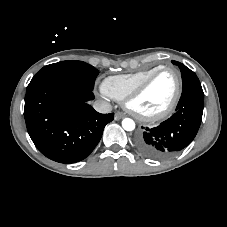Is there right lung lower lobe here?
<instances>
[{"instance_id": "right-lung-lower-lobe-1", "label": "right lung lower lobe", "mask_w": 227, "mask_h": 227, "mask_svg": "<svg viewBox=\"0 0 227 227\" xmlns=\"http://www.w3.org/2000/svg\"><path fill=\"white\" fill-rule=\"evenodd\" d=\"M67 92L72 96L68 97ZM92 90L60 78L31 83L25 96L24 116L37 149L60 163L86 158L101 139L114 113L100 114L88 104Z\"/></svg>"}]
</instances>
